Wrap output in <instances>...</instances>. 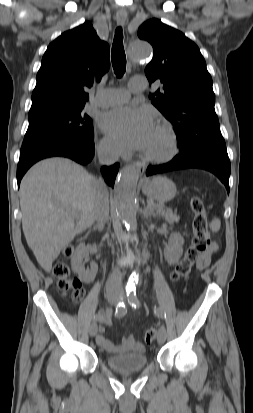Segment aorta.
Segmentation results:
<instances>
[{
	"instance_id": "762f6f07",
	"label": "aorta",
	"mask_w": 253,
	"mask_h": 413,
	"mask_svg": "<svg viewBox=\"0 0 253 413\" xmlns=\"http://www.w3.org/2000/svg\"><path fill=\"white\" fill-rule=\"evenodd\" d=\"M152 54L149 43L135 40L130 44L129 55L133 61L147 60ZM139 178V169L135 165L126 166L117 176L115 182V206L123 223L130 228H137L136 188Z\"/></svg>"
}]
</instances>
